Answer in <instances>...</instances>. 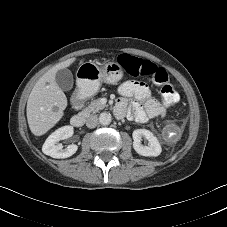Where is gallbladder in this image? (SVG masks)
I'll use <instances>...</instances> for the list:
<instances>
[{"label":"gallbladder","mask_w":227,"mask_h":227,"mask_svg":"<svg viewBox=\"0 0 227 227\" xmlns=\"http://www.w3.org/2000/svg\"><path fill=\"white\" fill-rule=\"evenodd\" d=\"M56 83L63 91H69L73 87V75L68 69H60L56 73Z\"/></svg>","instance_id":"gallbladder-1"}]
</instances>
